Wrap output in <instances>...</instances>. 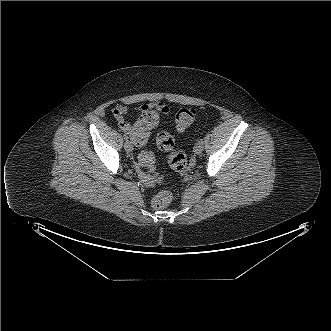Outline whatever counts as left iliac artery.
Instances as JSON below:
<instances>
[{"label":"left iliac artery","mask_w":331,"mask_h":331,"mask_svg":"<svg viewBox=\"0 0 331 331\" xmlns=\"http://www.w3.org/2000/svg\"><path fill=\"white\" fill-rule=\"evenodd\" d=\"M199 142H200L201 144H203V143H204L203 139H200V140H199Z\"/></svg>","instance_id":"44dca946"}]
</instances>
